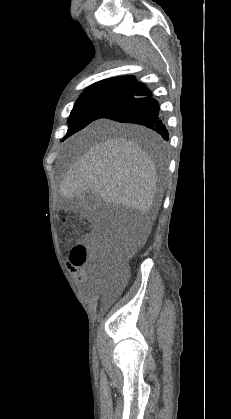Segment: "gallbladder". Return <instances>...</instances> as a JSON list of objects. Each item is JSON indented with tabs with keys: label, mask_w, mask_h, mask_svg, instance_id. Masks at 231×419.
<instances>
[{
	"label": "gallbladder",
	"mask_w": 231,
	"mask_h": 419,
	"mask_svg": "<svg viewBox=\"0 0 231 419\" xmlns=\"http://www.w3.org/2000/svg\"><path fill=\"white\" fill-rule=\"evenodd\" d=\"M99 203V198L96 194L89 192L82 197V204L86 210H94Z\"/></svg>",
	"instance_id": "1"
}]
</instances>
